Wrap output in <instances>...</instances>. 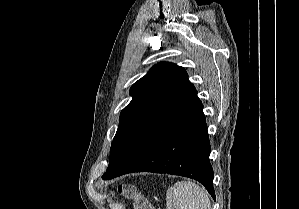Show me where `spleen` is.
I'll return each instance as SVG.
<instances>
[{
	"mask_svg": "<svg viewBox=\"0 0 299 209\" xmlns=\"http://www.w3.org/2000/svg\"><path fill=\"white\" fill-rule=\"evenodd\" d=\"M166 209H211L205 188L190 181H178L166 193Z\"/></svg>",
	"mask_w": 299,
	"mask_h": 209,
	"instance_id": "obj_1",
	"label": "spleen"
}]
</instances>
